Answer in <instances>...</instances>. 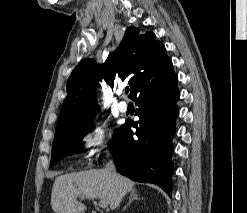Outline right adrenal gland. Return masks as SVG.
<instances>
[{"instance_id":"1","label":"right adrenal gland","mask_w":247,"mask_h":213,"mask_svg":"<svg viewBox=\"0 0 247 213\" xmlns=\"http://www.w3.org/2000/svg\"><path fill=\"white\" fill-rule=\"evenodd\" d=\"M133 200H140L137 192L135 189L131 190L130 196H129V201L126 206H124L123 211L127 209V207L132 203Z\"/></svg>"}]
</instances>
